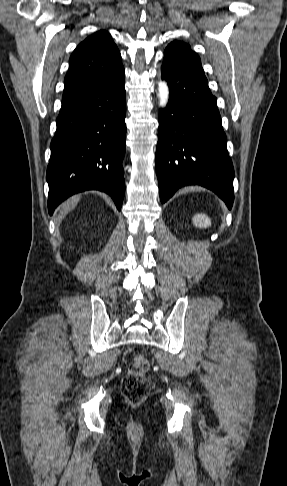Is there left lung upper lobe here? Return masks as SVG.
I'll list each match as a JSON object with an SVG mask.
<instances>
[{"label": "left lung upper lobe", "instance_id": "left-lung-upper-lobe-1", "mask_svg": "<svg viewBox=\"0 0 287 486\" xmlns=\"http://www.w3.org/2000/svg\"><path fill=\"white\" fill-rule=\"evenodd\" d=\"M165 58L170 59L194 75L207 80L199 56L190 46L181 41L171 42L164 51Z\"/></svg>", "mask_w": 287, "mask_h": 486}]
</instances>
